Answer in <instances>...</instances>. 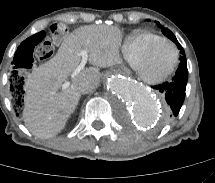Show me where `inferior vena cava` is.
I'll return each mask as SVG.
<instances>
[{
	"label": "inferior vena cava",
	"mask_w": 215,
	"mask_h": 183,
	"mask_svg": "<svg viewBox=\"0 0 215 183\" xmlns=\"http://www.w3.org/2000/svg\"><path fill=\"white\" fill-rule=\"evenodd\" d=\"M98 86V82L83 81L79 84L78 90L82 94L92 92Z\"/></svg>",
	"instance_id": "1"
}]
</instances>
